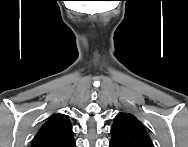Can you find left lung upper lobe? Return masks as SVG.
I'll list each match as a JSON object with an SVG mask.
<instances>
[{
  "mask_svg": "<svg viewBox=\"0 0 188 147\" xmlns=\"http://www.w3.org/2000/svg\"><path fill=\"white\" fill-rule=\"evenodd\" d=\"M110 133V147H153L145 127L131 113H119Z\"/></svg>",
  "mask_w": 188,
  "mask_h": 147,
  "instance_id": "1",
  "label": "left lung upper lobe"
}]
</instances>
